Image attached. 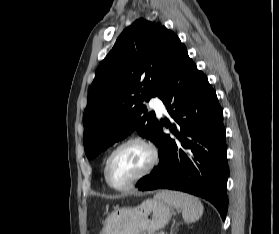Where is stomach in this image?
<instances>
[{
  "label": "stomach",
  "mask_w": 279,
  "mask_h": 234,
  "mask_svg": "<svg viewBox=\"0 0 279 234\" xmlns=\"http://www.w3.org/2000/svg\"><path fill=\"white\" fill-rule=\"evenodd\" d=\"M173 214V208L157 198L148 199L137 207H123L106 218L102 234H143L163 229Z\"/></svg>",
  "instance_id": "stomach-1"
}]
</instances>
